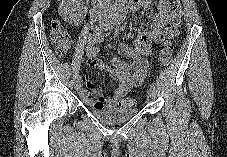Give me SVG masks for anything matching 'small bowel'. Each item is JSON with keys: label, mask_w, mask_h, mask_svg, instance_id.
<instances>
[{"label": "small bowel", "mask_w": 227, "mask_h": 157, "mask_svg": "<svg viewBox=\"0 0 227 157\" xmlns=\"http://www.w3.org/2000/svg\"><path fill=\"white\" fill-rule=\"evenodd\" d=\"M150 5L151 0H138V8L140 6L148 8ZM171 7L169 0H159L158 12L152 20L151 30L141 34L134 47L123 46V52L131 59L130 63L115 57L112 59V68H108L97 58V44L101 42L98 40V36L94 34L89 38L86 49L87 65L98 67L106 72L112 80L118 82V86L110 98H105L102 90L87 80L86 87L79 92L86 105L93 109L114 107L121 103L129 91L143 84L149 68L145 56L151 52V42H161L166 39L164 28L168 22Z\"/></svg>", "instance_id": "obj_1"}]
</instances>
